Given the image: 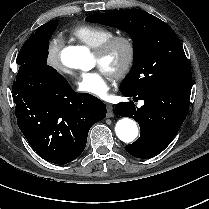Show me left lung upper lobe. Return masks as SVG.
<instances>
[{
	"label": "left lung upper lobe",
	"mask_w": 209,
	"mask_h": 209,
	"mask_svg": "<svg viewBox=\"0 0 209 209\" xmlns=\"http://www.w3.org/2000/svg\"><path fill=\"white\" fill-rule=\"evenodd\" d=\"M86 21L117 27L132 37L134 65L120 90L139 92L157 84L192 82L178 36L159 18L140 9H127L93 14Z\"/></svg>",
	"instance_id": "obj_1"
}]
</instances>
